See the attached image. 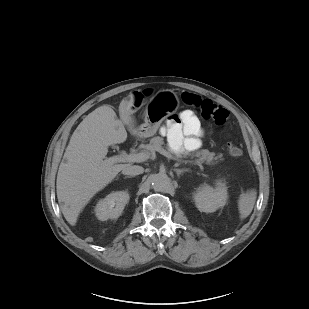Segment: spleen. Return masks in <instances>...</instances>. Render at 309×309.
<instances>
[{
    "label": "spleen",
    "mask_w": 309,
    "mask_h": 309,
    "mask_svg": "<svg viewBox=\"0 0 309 309\" xmlns=\"http://www.w3.org/2000/svg\"><path fill=\"white\" fill-rule=\"evenodd\" d=\"M257 198V192L255 189L246 191L240 194L238 199V209L240 218L244 219L249 216L253 210Z\"/></svg>",
    "instance_id": "3e777b00"
}]
</instances>
